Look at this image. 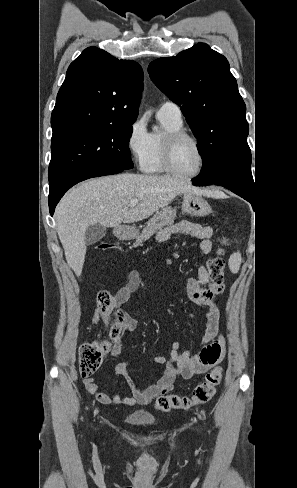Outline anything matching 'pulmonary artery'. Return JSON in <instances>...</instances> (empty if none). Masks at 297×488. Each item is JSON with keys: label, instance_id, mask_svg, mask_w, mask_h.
Returning a JSON list of instances; mask_svg holds the SVG:
<instances>
[{"label": "pulmonary artery", "instance_id": "obj_1", "mask_svg": "<svg viewBox=\"0 0 297 488\" xmlns=\"http://www.w3.org/2000/svg\"><path fill=\"white\" fill-rule=\"evenodd\" d=\"M158 117L160 119H168L176 123H182L181 109L172 101H165L162 103L158 110Z\"/></svg>", "mask_w": 297, "mask_h": 488}]
</instances>
